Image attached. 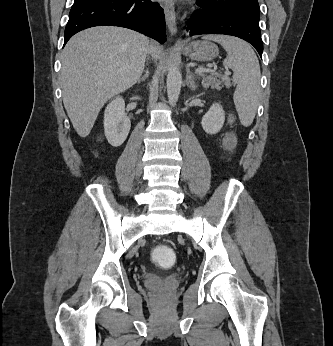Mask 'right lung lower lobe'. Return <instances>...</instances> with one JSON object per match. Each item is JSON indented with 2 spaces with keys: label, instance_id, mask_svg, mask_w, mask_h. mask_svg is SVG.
Returning a JSON list of instances; mask_svg holds the SVG:
<instances>
[{
  "label": "right lung lower lobe",
  "instance_id": "1",
  "mask_svg": "<svg viewBox=\"0 0 333 346\" xmlns=\"http://www.w3.org/2000/svg\"><path fill=\"white\" fill-rule=\"evenodd\" d=\"M126 27L160 43L166 41L163 9L150 0H74L64 45L77 32L94 26Z\"/></svg>",
  "mask_w": 333,
  "mask_h": 346
}]
</instances>
